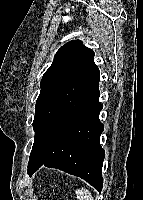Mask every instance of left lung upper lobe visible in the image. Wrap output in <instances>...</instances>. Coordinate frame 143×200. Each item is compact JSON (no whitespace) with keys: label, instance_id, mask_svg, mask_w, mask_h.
Listing matches in <instances>:
<instances>
[{"label":"left lung upper lobe","instance_id":"obj_1","mask_svg":"<svg viewBox=\"0 0 143 200\" xmlns=\"http://www.w3.org/2000/svg\"><path fill=\"white\" fill-rule=\"evenodd\" d=\"M93 57L94 52L80 40L70 41L58 50L52 65L42 77L35 117L45 104L74 80Z\"/></svg>","mask_w":143,"mask_h":200}]
</instances>
